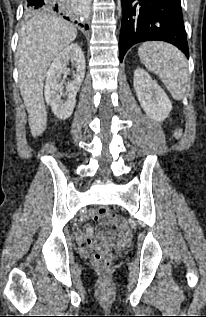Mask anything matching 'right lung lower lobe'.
<instances>
[{
  "label": "right lung lower lobe",
  "instance_id": "98d812e1",
  "mask_svg": "<svg viewBox=\"0 0 206 317\" xmlns=\"http://www.w3.org/2000/svg\"><path fill=\"white\" fill-rule=\"evenodd\" d=\"M65 1L66 0H26L25 13L62 11L66 6ZM64 18L69 19L66 16H64Z\"/></svg>",
  "mask_w": 206,
  "mask_h": 317
}]
</instances>
